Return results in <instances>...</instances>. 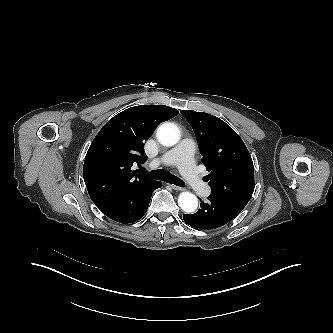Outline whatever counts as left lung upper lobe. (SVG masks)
Masks as SVG:
<instances>
[{"label": "left lung upper lobe", "instance_id": "1", "mask_svg": "<svg viewBox=\"0 0 333 333\" xmlns=\"http://www.w3.org/2000/svg\"><path fill=\"white\" fill-rule=\"evenodd\" d=\"M192 126L211 195L241 212L254 191V166L243 140L223 120L203 112L181 110Z\"/></svg>", "mask_w": 333, "mask_h": 333}]
</instances>
